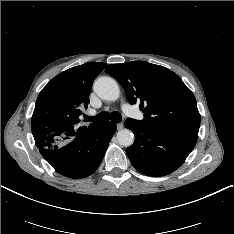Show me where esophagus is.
Returning <instances> with one entry per match:
<instances>
[{
    "mask_svg": "<svg viewBox=\"0 0 234 234\" xmlns=\"http://www.w3.org/2000/svg\"><path fill=\"white\" fill-rule=\"evenodd\" d=\"M123 127H124V124H123V123H118V124H117V129H118V130L123 129Z\"/></svg>",
    "mask_w": 234,
    "mask_h": 234,
    "instance_id": "1",
    "label": "esophagus"
}]
</instances>
